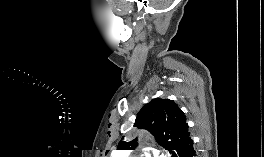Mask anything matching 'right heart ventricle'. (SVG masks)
<instances>
[{
	"label": "right heart ventricle",
	"mask_w": 264,
	"mask_h": 157,
	"mask_svg": "<svg viewBox=\"0 0 264 157\" xmlns=\"http://www.w3.org/2000/svg\"><path fill=\"white\" fill-rule=\"evenodd\" d=\"M112 157H125L122 153H115L112 155Z\"/></svg>",
	"instance_id": "right-heart-ventricle-1"
}]
</instances>
